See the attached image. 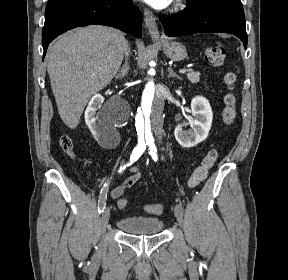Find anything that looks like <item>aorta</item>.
I'll return each instance as SVG.
<instances>
[{"instance_id": "1", "label": "aorta", "mask_w": 288, "mask_h": 280, "mask_svg": "<svg viewBox=\"0 0 288 280\" xmlns=\"http://www.w3.org/2000/svg\"><path fill=\"white\" fill-rule=\"evenodd\" d=\"M154 94L155 86L154 82L151 80L147 83L143 91L142 103L141 106H137L134 120H149V116H151ZM150 123L151 121H136V136H138V140H152L153 126H151Z\"/></svg>"}]
</instances>
